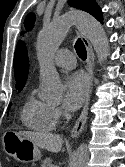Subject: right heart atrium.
I'll return each mask as SVG.
<instances>
[{
    "mask_svg": "<svg viewBox=\"0 0 125 167\" xmlns=\"http://www.w3.org/2000/svg\"><path fill=\"white\" fill-rule=\"evenodd\" d=\"M52 112H53V115H54L56 121L61 118V112L58 108H52Z\"/></svg>",
    "mask_w": 125,
    "mask_h": 167,
    "instance_id": "d8ad5b80",
    "label": "right heart atrium"
}]
</instances>
